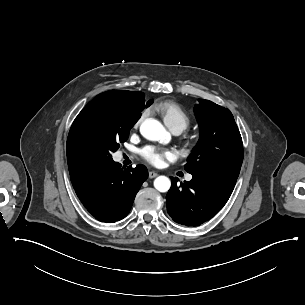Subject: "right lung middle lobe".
Masks as SVG:
<instances>
[{
  "label": "right lung middle lobe",
  "mask_w": 305,
  "mask_h": 305,
  "mask_svg": "<svg viewBox=\"0 0 305 305\" xmlns=\"http://www.w3.org/2000/svg\"><path fill=\"white\" fill-rule=\"evenodd\" d=\"M140 116L119 115L100 121L85 112L74 130L75 158L83 165L96 167L112 163V153L128 139Z\"/></svg>",
  "instance_id": "dd1d6c3e"
}]
</instances>
